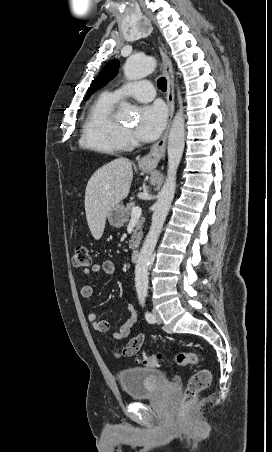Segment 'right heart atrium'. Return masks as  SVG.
<instances>
[{
	"instance_id": "obj_1",
	"label": "right heart atrium",
	"mask_w": 272,
	"mask_h": 452,
	"mask_svg": "<svg viewBox=\"0 0 272 452\" xmlns=\"http://www.w3.org/2000/svg\"><path fill=\"white\" fill-rule=\"evenodd\" d=\"M123 137H124L126 146H130L133 144L134 139H133L132 133L130 131L124 130Z\"/></svg>"
}]
</instances>
